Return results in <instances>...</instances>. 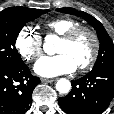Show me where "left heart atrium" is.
Listing matches in <instances>:
<instances>
[{
  "label": "left heart atrium",
  "instance_id": "obj_1",
  "mask_svg": "<svg viewBox=\"0 0 114 114\" xmlns=\"http://www.w3.org/2000/svg\"><path fill=\"white\" fill-rule=\"evenodd\" d=\"M77 69L74 60L66 53L44 56L34 65V71L42 77H54L72 73Z\"/></svg>",
  "mask_w": 114,
  "mask_h": 114
}]
</instances>
